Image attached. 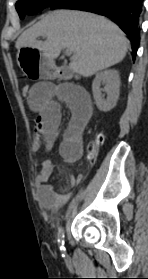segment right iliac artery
<instances>
[{"mask_svg": "<svg viewBox=\"0 0 148 279\" xmlns=\"http://www.w3.org/2000/svg\"><path fill=\"white\" fill-rule=\"evenodd\" d=\"M58 244H59V248L61 251H65V247H64V230L63 228L59 229L58 232Z\"/></svg>", "mask_w": 148, "mask_h": 279, "instance_id": "82829eb1", "label": "right iliac artery"}]
</instances>
